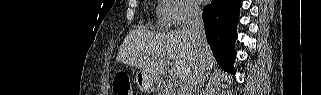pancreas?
Masks as SVG:
<instances>
[{
    "label": "pancreas",
    "mask_w": 321,
    "mask_h": 95,
    "mask_svg": "<svg viewBox=\"0 0 321 95\" xmlns=\"http://www.w3.org/2000/svg\"><path fill=\"white\" fill-rule=\"evenodd\" d=\"M163 95H175V89L169 84H165L162 88Z\"/></svg>",
    "instance_id": "obj_1"
}]
</instances>
